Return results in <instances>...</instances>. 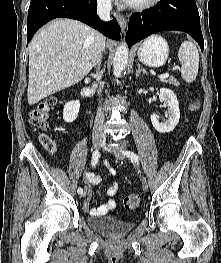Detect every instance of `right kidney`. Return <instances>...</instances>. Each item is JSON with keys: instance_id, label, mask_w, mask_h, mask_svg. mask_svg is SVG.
<instances>
[{"instance_id": "ca27d5eb", "label": "right kidney", "mask_w": 221, "mask_h": 263, "mask_svg": "<svg viewBox=\"0 0 221 263\" xmlns=\"http://www.w3.org/2000/svg\"><path fill=\"white\" fill-rule=\"evenodd\" d=\"M79 109H80V101L79 100L67 102L64 105V109H63L64 121L68 122V123L73 122L78 116Z\"/></svg>"}]
</instances>
